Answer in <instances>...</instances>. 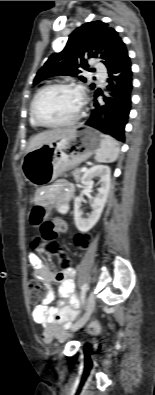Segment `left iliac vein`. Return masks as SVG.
<instances>
[{
	"label": "left iliac vein",
	"instance_id": "obj_1",
	"mask_svg": "<svg viewBox=\"0 0 155 395\" xmlns=\"http://www.w3.org/2000/svg\"><path fill=\"white\" fill-rule=\"evenodd\" d=\"M95 302H96V298H95V294L94 292H91L87 298L86 301V309H85V313L84 315L72 326L71 330L72 331H77L78 329H80L81 327H83L86 322L89 320L94 307H95Z\"/></svg>",
	"mask_w": 155,
	"mask_h": 395
}]
</instances>
